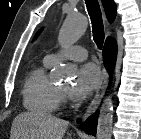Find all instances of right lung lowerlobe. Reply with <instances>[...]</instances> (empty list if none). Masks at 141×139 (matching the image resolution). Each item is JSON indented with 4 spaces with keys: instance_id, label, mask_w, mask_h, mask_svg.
<instances>
[{
    "instance_id": "98d812e1",
    "label": "right lung lower lobe",
    "mask_w": 141,
    "mask_h": 139,
    "mask_svg": "<svg viewBox=\"0 0 141 139\" xmlns=\"http://www.w3.org/2000/svg\"><path fill=\"white\" fill-rule=\"evenodd\" d=\"M117 55V45L113 38H107L104 49V64L107 70L112 73ZM97 113L92 115L86 122L81 124V129H83L87 134H91L93 136L96 135V127H97ZM80 123V121H78Z\"/></svg>"
}]
</instances>
